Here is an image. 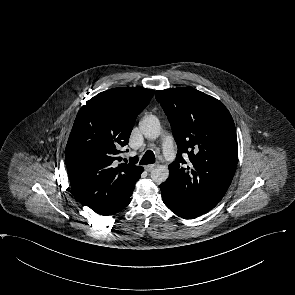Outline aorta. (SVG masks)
<instances>
[{"label": "aorta", "mask_w": 295, "mask_h": 295, "mask_svg": "<svg viewBox=\"0 0 295 295\" xmlns=\"http://www.w3.org/2000/svg\"><path fill=\"white\" fill-rule=\"evenodd\" d=\"M139 128L142 134L149 139H156L161 134V124L154 115H147L139 122ZM151 179L156 184L165 182L169 176V169L166 165H157L151 171Z\"/></svg>", "instance_id": "aorta-1"}]
</instances>
